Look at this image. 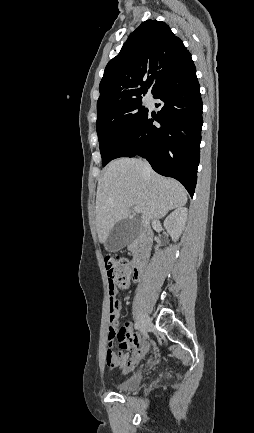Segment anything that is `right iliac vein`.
Masks as SVG:
<instances>
[{"label":"right iliac vein","instance_id":"63e3f726","mask_svg":"<svg viewBox=\"0 0 254 433\" xmlns=\"http://www.w3.org/2000/svg\"><path fill=\"white\" fill-rule=\"evenodd\" d=\"M150 325V319L147 315H143L140 320V331L143 335H146Z\"/></svg>","mask_w":254,"mask_h":433}]
</instances>
